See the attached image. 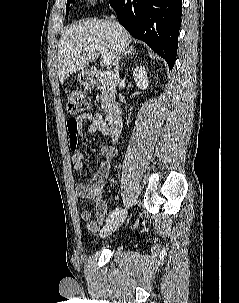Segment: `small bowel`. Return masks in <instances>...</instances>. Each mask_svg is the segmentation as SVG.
I'll list each match as a JSON object with an SVG mask.
<instances>
[{
	"label": "small bowel",
	"instance_id": "small-bowel-1",
	"mask_svg": "<svg viewBox=\"0 0 239 303\" xmlns=\"http://www.w3.org/2000/svg\"><path fill=\"white\" fill-rule=\"evenodd\" d=\"M85 122L88 123L86 128L88 134L99 133L108 136L110 140V144L101 148V152L106 160L100 165L94 178L88 183H79L76 187V194L80 199L92 198L94 200L97 222L92 220V212L88 209L83 210L80 216L81 219L86 222L87 229L90 232L95 233L103 224L104 218L108 213L107 204L104 201L101 192L110 173L111 161L117 155L115 145L118 139L116 136L109 133L108 128L100 115L95 112H87L76 118H70L67 122L69 144L72 149L76 148L80 137L82 136V126ZM70 123L76 124V130L74 132L70 130ZM71 161L75 170L82 171L84 169V155L82 152L74 151L71 156Z\"/></svg>",
	"mask_w": 239,
	"mask_h": 303
}]
</instances>
